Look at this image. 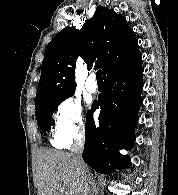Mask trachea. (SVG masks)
<instances>
[{
	"mask_svg": "<svg viewBox=\"0 0 178 195\" xmlns=\"http://www.w3.org/2000/svg\"><path fill=\"white\" fill-rule=\"evenodd\" d=\"M96 79H97V82H102V72L101 70H98L97 73H96Z\"/></svg>",
	"mask_w": 178,
	"mask_h": 195,
	"instance_id": "1",
	"label": "trachea"
}]
</instances>
